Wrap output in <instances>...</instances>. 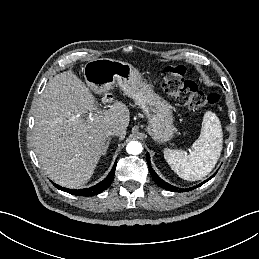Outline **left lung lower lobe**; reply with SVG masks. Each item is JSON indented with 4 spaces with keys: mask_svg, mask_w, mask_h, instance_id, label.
Masks as SVG:
<instances>
[{
    "mask_svg": "<svg viewBox=\"0 0 259 259\" xmlns=\"http://www.w3.org/2000/svg\"><path fill=\"white\" fill-rule=\"evenodd\" d=\"M147 163H148V167H149V170H150V174L152 175V178L154 179V181L160 186L162 187L163 189H166V190H169V191H173V192H186V191H189V190H192V189H195L199 186H201L203 183L207 182L208 180H210L212 177H214V174L213 176H211L209 179H207L206 181H204L203 183L199 184V185H196L194 187H191L190 189H179L177 187H174L168 183H166L165 181H163L157 174L156 172L152 169L151 167V162H150V156L149 154H147Z\"/></svg>",
    "mask_w": 259,
    "mask_h": 259,
    "instance_id": "0a47b994",
    "label": "left lung lower lobe"
}]
</instances>
